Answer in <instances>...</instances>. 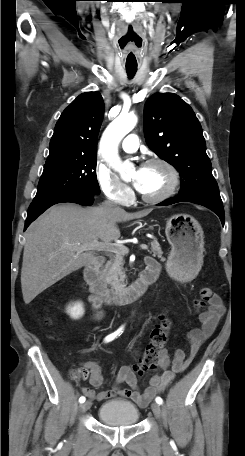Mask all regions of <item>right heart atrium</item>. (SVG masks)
Listing matches in <instances>:
<instances>
[{
	"instance_id": "obj_1",
	"label": "right heart atrium",
	"mask_w": 245,
	"mask_h": 456,
	"mask_svg": "<svg viewBox=\"0 0 245 456\" xmlns=\"http://www.w3.org/2000/svg\"><path fill=\"white\" fill-rule=\"evenodd\" d=\"M94 175L99 189L106 198L122 205L131 201V189L105 165L97 162Z\"/></svg>"
}]
</instances>
